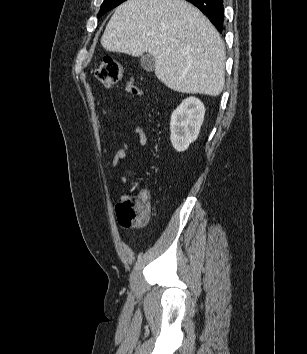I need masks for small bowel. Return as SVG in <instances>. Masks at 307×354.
<instances>
[{"mask_svg": "<svg viewBox=\"0 0 307 354\" xmlns=\"http://www.w3.org/2000/svg\"><path fill=\"white\" fill-rule=\"evenodd\" d=\"M133 131L135 133V139L132 141H127L124 143V145L118 149L113 158H112V168L113 169H117L120 162L126 158V156L129 153V150L131 149V147L133 146H144L147 143L148 137L145 133V131L139 127V126H135L133 128ZM144 191V190H143Z\"/></svg>", "mask_w": 307, "mask_h": 354, "instance_id": "small-bowel-1", "label": "small bowel"}]
</instances>
